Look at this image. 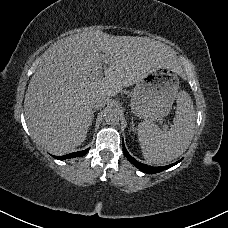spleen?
Here are the masks:
<instances>
[{
    "mask_svg": "<svg viewBox=\"0 0 228 228\" xmlns=\"http://www.w3.org/2000/svg\"><path fill=\"white\" fill-rule=\"evenodd\" d=\"M195 129V110L188 93L177 96L176 113L169 131L163 132L155 123L138 124L137 135L142 155L149 164H164L183 154L190 145Z\"/></svg>",
    "mask_w": 228,
    "mask_h": 228,
    "instance_id": "obj_1",
    "label": "spleen"
}]
</instances>
